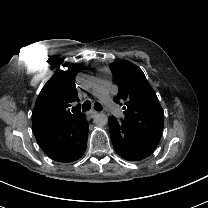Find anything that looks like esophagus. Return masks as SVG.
I'll use <instances>...</instances> for the list:
<instances>
[{"mask_svg": "<svg viewBox=\"0 0 208 208\" xmlns=\"http://www.w3.org/2000/svg\"><path fill=\"white\" fill-rule=\"evenodd\" d=\"M97 113H98L97 111L91 110L87 113L86 117H87V119H92L93 117L96 116Z\"/></svg>", "mask_w": 208, "mask_h": 208, "instance_id": "obj_1", "label": "esophagus"}]
</instances>
